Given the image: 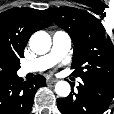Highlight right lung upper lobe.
Masks as SVG:
<instances>
[{
	"label": "right lung upper lobe",
	"mask_w": 114,
	"mask_h": 114,
	"mask_svg": "<svg viewBox=\"0 0 114 114\" xmlns=\"http://www.w3.org/2000/svg\"><path fill=\"white\" fill-rule=\"evenodd\" d=\"M45 11L23 7L0 13V63L20 64L30 36L53 23Z\"/></svg>",
	"instance_id": "cb5924a9"
}]
</instances>
